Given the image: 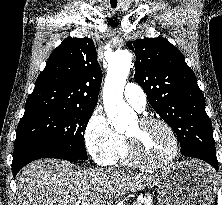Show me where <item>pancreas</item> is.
<instances>
[{
    "label": "pancreas",
    "instance_id": "obj_1",
    "mask_svg": "<svg viewBox=\"0 0 222 205\" xmlns=\"http://www.w3.org/2000/svg\"><path fill=\"white\" fill-rule=\"evenodd\" d=\"M134 205H153V198L150 195L144 196L141 200L137 201Z\"/></svg>",
    "mask_w": 222,
    "mask_h": 205
}]
</instances>
